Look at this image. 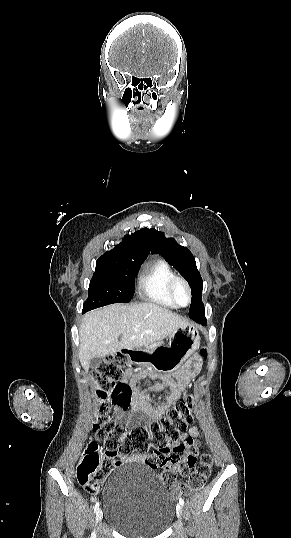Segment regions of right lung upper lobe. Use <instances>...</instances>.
I'll list each match as a JSON object with an SVG mask.
<instances>
[{
	"instance_id": "right-lung-upper-lobe-1",
	"label": "right lung upper lobe",
	"mask_w": 291,
	"mask_h": 538,
	"mask_svg": "<svg viewBox=\"0 0 291 538\" xmlns=\"http://www.w3.org/2000/svg\"><path fill=\"white\" fill-rule=\"evenodd\" d=\"M152 251L150 231L147 228L138 230L131 235H125L122 242L101 257H125L130 259H145Z\"/></svg>"
}]
</instances>
